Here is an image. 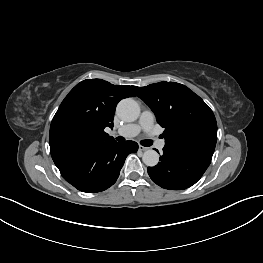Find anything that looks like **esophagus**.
<instances>
[{"instance_id":"34e87169","label":"esophagus","mask_w":263,"mask_h":263,"mask_svg":"<svg viewBox=\"0 0 263 263\" xmlns=\"http://www.w3.org/2000/svg\"><path fill=\"white\" fill-rule=\"evenodd\" d=\"M138 149H139V151H146L148 149V147L139 145Z\"/></svg>"}]
</instances>
